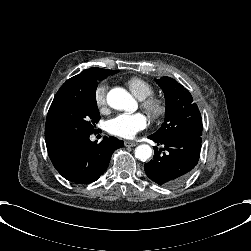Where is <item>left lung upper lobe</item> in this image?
Segmentation results:
<instances>
[{
    "label": "left lung upper lobe",
    "mask_w": 251,
    "mask_h": 251,
    "mask_svg": "<svg viewBox=\"0 0 251 251\" xmlns=\"http://www.w3.org/2000/svg\"><path fill=\"white\" fill-rule=\"evenodd\" d=\"M166 99L165 121L153 137L166 140L182 135H202V119L188 90L170 77L156 79Z\"/></svg>",
    "instance_id": "left-lung-upper-lobe-1"
}]
</instances>
